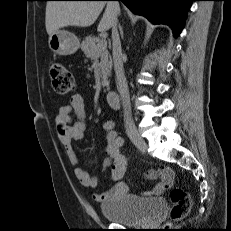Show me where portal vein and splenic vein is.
I'll list each match as a JSON object with an SVG mask.
<instances>
[{
	"label": "portal vein and splenic vein",
	"instance_id": "portal-vein-and-splenic-vein-1",
	"mask_svg": "<svg viewBox=\"0 0 231 231\" xmlns=\"http://www.w3.org/2000/svg\"><path fill=\"white\" fill-rule=\"evenodd\" d=\"M106 46H107V42H106L105 37H103V38L99 41L98 47L104 49V48H106Z\"/></svg>",
	"mask_w": 231,
	"mask_h": 231
}]
</instances>
